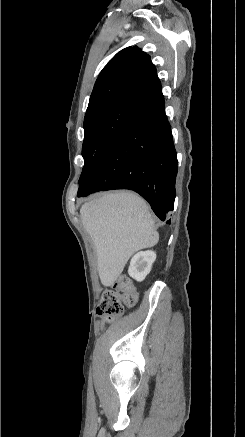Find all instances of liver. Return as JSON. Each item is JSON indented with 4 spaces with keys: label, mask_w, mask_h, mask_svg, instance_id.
<instances>
[{
    "label": "liver",
    "mask_w": 245,
    "mask_h": 437,
    "mask_svg": "<svg viewBox=\"0 0 245 437\" xmlns=\"http://www.w3.org/2000/svg\"><path fill=\"white\" fill-rule=\"evenodd\" d=\"M81 221L96 249L101 283L112 286L129 258L157 244L148 204L132 192L107 193L82 205Z\"/></svg>",
    "instance_id": "liver-1"
}]
</instances>
